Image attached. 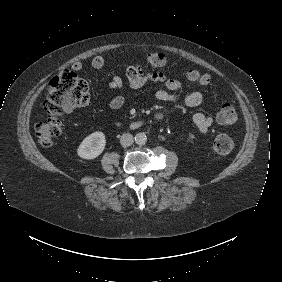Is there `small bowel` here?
Returning <instances> with one entry per match:
<instances>
[{
	"label": "small bowel",
	"mask_w": 282,
	"mask_h": 282,
	"mask_svg": "<svg viewBox=\"0 0 282 282\" xmlns=\"http://www.w3.org/2000/svg\"><path fill=\"white\" fill-rule=\"evenodd\" d=\"M104 65L105 59L101 55H96L91 60V66L94 69H101ZM72 68L75 71H80L83 68V63L76 61ZM127 80L131 90H136L150 82L162 83L164 88H160L155 92L156 100L161 103L196 107L203 100L202 94L198 91L182 93V84L178 80L170 78L162 72L143 73L138 65H129L127 67ZM109 88L116 92L109 102V107L112 110L121 109L130 94V91L124 88L123 77L120 75L114 76L109 83ZM193 122L198 131L205 134L213 123V117L209 113L198 112L193 115Z\"/></svg>",
	"instance_id": "c3829d8e"
}]
</instances>
